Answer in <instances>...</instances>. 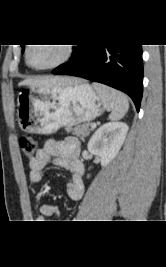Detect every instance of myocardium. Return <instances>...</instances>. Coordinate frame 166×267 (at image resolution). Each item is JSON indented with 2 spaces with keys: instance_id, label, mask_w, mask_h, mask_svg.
Masks as SVG:
<instances>
[{
  "instance_id": "obj_1",
  "label": "myocardium",
  "mask_w": 166,
  "mask_h": 267,
  "mask_svg": "<svg viewBox=\"0 0 166 267\" xmlns=\"http://www.w3.org/2000/svg\"><path fill=\"white\" fill-rule=\"evenodd\" d=\"M33 45L35 44H29L28 46H26L25 52H24V60H25L26 65L34 71H47V70H52L57 67H60L66 62H68L73 54V47L70 46L69 44H63L64 55L59 61H57L56 63L50 64V65H47V66L35 67V66H32L29 62V52H30V49L33 47Z\"/></svg>"
}]
</instances>
